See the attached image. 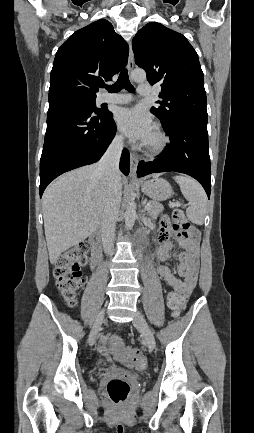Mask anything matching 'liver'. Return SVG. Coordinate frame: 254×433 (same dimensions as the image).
<instances>
[{"label": "liver", "mask_w": 254, "mask_h": 433, "mask_svg": "<svg viewBox=\"0 0 254 433\" xmlns=\"http://www.w3.org/2000/svg\"><path fill=\"white\" fill-rule=\"evenodd\" d=\"M124 180L120 175L121 186ZM106 200L107 183L98 164L70 171L46 189L42 206L51 264L99 227Z\"/></svg>", "instance_id": "1"}]
</instances>
